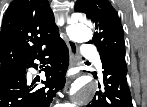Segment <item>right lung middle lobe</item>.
<instances>
[{"mask_svg": "<svg viewBox=\"0 0 147 107\" xmlns=\"http://www.w3.org/2000/svg\"><path fill=\"white\" fill-rule=\"evenodd\" d=\"M15 68H16V67H14V68H7V69H1V70H0V77L3 76V75L6 74V73L12 71V70L15 69Z\"/></svg>", "mask_w": 147, "mask_h": 107, "instance_id": "1", "label": "right lung middle lobe"}]
</instances>
